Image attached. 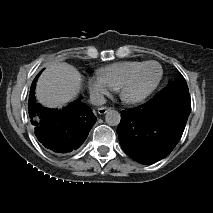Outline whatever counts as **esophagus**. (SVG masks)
I'll list each match as a JSON object with an SVG mask.
<instances>
[{"label":"esophagus","mask_w":213,"mask_h":213,"mask_svg":"<svg viewBox=\"0 0 213 213\" xmlns=\"http://www.w3.org/2000/svg\"><path fill=\"white\" fill-rule=\"evenodd\" d=\"M110 108L109 107H100V108H98V113L100 114V115H103V114H105L108 110H109Z\"/></svg>","instance_id":"1"}]
</instances>
